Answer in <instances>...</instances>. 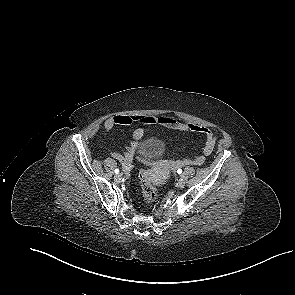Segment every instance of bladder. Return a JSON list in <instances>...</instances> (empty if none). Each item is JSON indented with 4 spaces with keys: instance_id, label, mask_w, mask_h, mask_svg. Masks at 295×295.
Masks as SVG:
<instances>
[{
    "instance_id": "obj_1",
    "label": "bladder",
    "mask_w": 295,
    "mask_h": 295,
    "mask_svg": "<svg viewBox=\"0 0 295 295\" xmlns=\"http://www.w3.org/2000/svg\"><path fill=\"white\" fill-rule=\"evenodd\" d=\"M164 146L157 139H148L138 145V152L141 157L147 160H154L161 156Z\"/></svg>"
}]
</instances>
